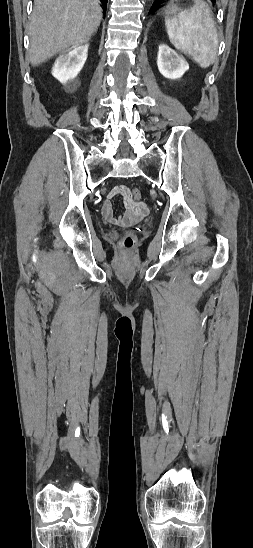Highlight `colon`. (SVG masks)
Wrapping results in <instances>:
<instances>
[{"label": "colon", "instance_id": "colon-1", "mask_svg": "<svg viewBox=\"0 0 253 548\" xmlns=\"http://www.w3.org/2000/svg\"><path fill=\"white\" fill-rule=\"evenodd\" d=\"M131 197L133 198V200L135 201H139L142 197V194H141V191L138 189V188H134L131 192ZM135 238L131 235H126L124 236L121 241H120V247L126 251V252H130L133 250L134 246H135Z\"/></svg>", "mask_w": 253, "mask_h": 548}]
</instances>
